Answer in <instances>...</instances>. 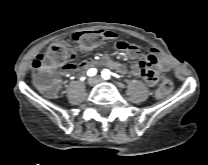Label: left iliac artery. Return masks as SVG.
<instances>
[{
  "instance_id": "obj_1",
  "label": "left iliac artery",
  "mask_w": 208,
  "mask_h": 165,
  "mask_svg": "<svg viewBox=\"0 0 208 165\" xmlns=\"http://www.w3.org/2000/svg\"><path fill=\"white\" fill-rule=\"evenodd\" d=\"M102 77H103L104 79H109V78H110V71H109L108 69H104V70L102 71Z\"/></svg>"
}]
</instances>
